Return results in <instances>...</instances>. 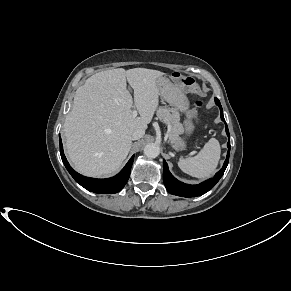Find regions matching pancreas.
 I'll use <instances>...</instances> for the list:
<instances>
[{
	"label": "pancreas",
	"instance_id": "cf45deb5",
	"mask_svg": "<svg viewBox=\"0 0 291 291\" xmlns=\"http://www.w3.org/2000/svg\"><path fill=\"white\" fill-rule=\"evenodd\" d=\"M157 118L170 127L168 136L171 142L174 144L179 142L181 140L179 137L181 124L177 111L167 107H159L157 110Z\"/></svg>",
	"mask_w": 291,
	"mask_h": 291
}]
</instances>
